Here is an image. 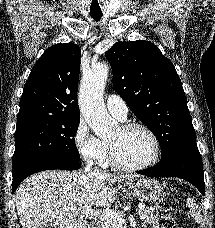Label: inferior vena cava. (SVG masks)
<instances>
[{
	"label": "inferior vena cava",
	"mask_w": 215,
	"mask_h": 228,
	"mask_svg": "<svg viewBox=\"0 0 215 228\" xmlns=\"http://www.w3.org/2000/svg\"><path fill=\"white\" fill-rule=\"evenodd\" d=\"M93 164H94L93 160H88L84 168L85 174H87V176H101L100 172H97V170H92Z\"/></svg>",
	"instance_id": "602c4592"
}]
</instances>
